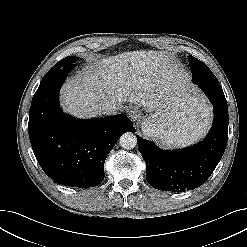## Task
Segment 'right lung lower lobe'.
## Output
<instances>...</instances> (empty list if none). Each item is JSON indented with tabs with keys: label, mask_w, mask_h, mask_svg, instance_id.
Segmentation results:
<instances>
[{
	"label": "right lung lower lobe",
	"mask_w": 247,
	"mask_h": 247,
	"mask_svg": "<svg viewBox=\"0 0 247 247\" xmlns=\"http://www.w3.org/2000/svg\"><path fill=\"white\" fill-rule=\"evenodd\" d=\"M68 68L49 70L33 96L28 131L35 157L56 182L94 187L104 179V162L125 132L135 131L124 114L77 120L63 114L58 93Z\"/></svg>",
	"instance_id": "obj_1"
}]
</instances>
